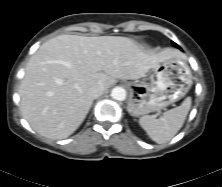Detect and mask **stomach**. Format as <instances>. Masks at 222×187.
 <instances>
[{
  "label": "stomach",
  "mask_w": 222,
  "mask_h": 187,
  "mask_svg": "<svg viewBox=\"0 0 222 187\" xmlns=\"http://www.w3.org/2000/svg\"><path fill=\"white\" fill-rule=\"evenodd\" d=\"M146 81L132 84L128 112L141 116L158 112L181 98L192 86V74L183 56L169 58L152 68Z\"/></svg>",
  "instance_id": "obj_1"
}]
</instances>
